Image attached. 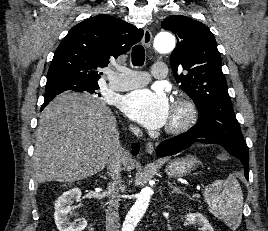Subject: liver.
Wrapping results in <instances>:
<instances>
[{"instance_id": "1", "label": "liver", "mask_w": 268, "mask_h": 231, "mask_svg": "<svg viewBox=\"0 0 268 231\" xmlns=\"http://www.w3.org/2000/svg\"><path fill=\"white\" fill-rule=\"evenodd\" d=\"M109 107L89 94L63 93L42 111L33 155L37 183L75 182L100 172L125 152ZM125 168H134L125 159Z\"/></svg>"}]
</instances>
